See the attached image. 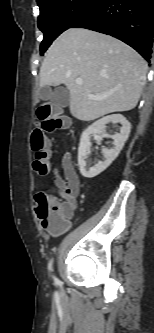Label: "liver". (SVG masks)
Segmentation results:
<instances>
[{
	"label": "liver",
	"instance_id": "6515ba94",
	"mask_svg": "<svg viewBox=\"0 0 154 333\" xmlns=\"http://www.w3.org/2000/svg\"><path fill=\"white\" fill-rule=\"evenodd\" d=\"M147 63L124 42L96 31L70 28L49 47L40 68V86L64 84L70 112L92 121L136 107L144 85ZM83 83L78 85L76 79ZM105 96L94 100L87 94Z\"/></svg>",
	"mask_w": 154,
	"mask_h": 333
}]
</instances>
